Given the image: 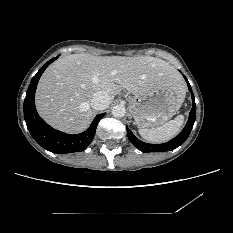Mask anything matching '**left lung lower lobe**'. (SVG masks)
<instances>
[{"instance_id":"left-lung-lower-lobe-1","label":"left lung lower lobe","mask_w":233,"mask_h":233,"mask_svg":"<svg viewBox=\"0 0 233 233\" xmlns=\"http://www.w3.org/2000/svg\"><path fill=\"white\" fill-rule=\"evenodd\" d=\"M184 78L187 82L188 89L192 95V109L190 111L189 119H188L186 126L181 131V133L178 134L175 138L163 144H149V143L142 142L138 138H136L135 135L131 132V130L127 127V135H128L129 141L140 151L142 152H165V151L174 150L177 147H179L181 144H183L185 140L188 138L193 128L195 119H196V104H195V97L193 95L191 86L185 76Z\"/></svg>"}]
</instances>
